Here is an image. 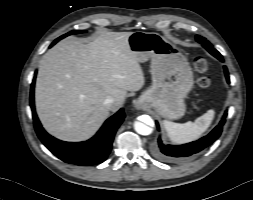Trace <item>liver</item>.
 I'll return each mask as SVG.
<instances>
[{
  "label": "liver",
  "instance_id": "6515ba94",
  "mask_svg": "<svg viewBox=\"0 0 253 200\" xmlns=\"http://www.w3.org/2000/svg\"><path fill=\"white\" fill-rule=\"evenodd\" d=\"M132 32H102L83 44L67 38L45 53L35 87L36 111L44 128L66 141L90 138L124 103L127 91L145 83L143 70L131 52ZM107 97L115 102L104 105Z\"/></svg>",
  "mask_w": 253,
  "mask_h": 200
}]
</instances>
